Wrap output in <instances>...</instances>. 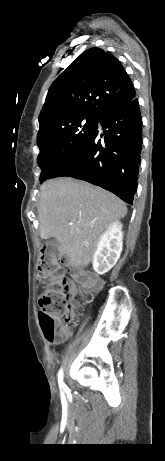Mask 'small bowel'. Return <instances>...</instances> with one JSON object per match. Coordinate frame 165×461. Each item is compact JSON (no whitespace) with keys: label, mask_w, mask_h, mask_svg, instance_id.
Wrapping results in <instances>:
<instances>
[{"label":"small bowel","mask_w":165,"mask_h":461,"mask_svg":"<svg viewBox=\"0 0 165 461\" xmlns=\"http://www.w3.org/2000/svg\"><path fill=\"white\" fill-rule=\"evenodd\" d=\"M70 269L72 271H78L80 269V264L79 263H71L70 264ZM88 280H92L94 282H97L99 286L102 285V280L99 279L95 274H81V281L82 282H87ZM77 293V286L74 282L69 281V291H65L63 298L67 302L66 306L68 308H71L73 306V303L71 302L74 298V294ZM73 312L71 313H62L61 316V323L62 324H71L73 320ZM61 332L63 333V337L58 341L60 343L65 342L69 336H70V329L66 326L61 327Z\"/></svg>","instance_id":"1"}]
</instances>
